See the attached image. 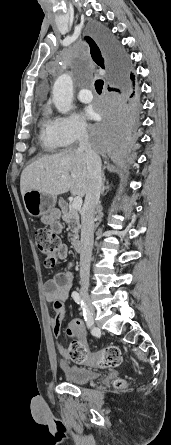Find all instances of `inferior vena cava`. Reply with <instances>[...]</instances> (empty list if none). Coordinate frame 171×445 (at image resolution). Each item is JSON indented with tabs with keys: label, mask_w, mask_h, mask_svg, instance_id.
<instances>
[{
	"label": "inferior vena cava",
	"mask_w": 171,
	"mask_h": 445,
	"mask_svg": "<svg viewBox=\"0 0 171 445\" xmlns=\"http://www.w3.org/2000/svg\"><path fill=\"white\" fill-rule=\"evenodd\" d=\"M79 150L84 152L90 176L88 190L82 209L80 281L81 289L87 291L89 285L90 262L94 238V214L99 204L102 188L101 159L89 144V134L83 128L79 134Z\"/></svg>",
	"instance_id": "obj_1"
}]
</instances>
